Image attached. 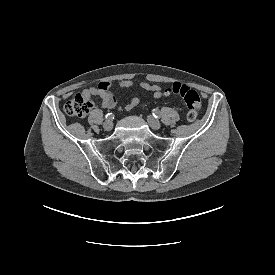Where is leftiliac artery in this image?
Masks as SVG:
<instances>
[{"instance_id": "44dca946", "label": "left iliac artery", "mask_w": 275, "mask_h": 275, "mask_svg": "<svg viewBox=\"0 0 275 275\" xmlns=\"http://www.w3.org/2000/svg\"><path fill=\"white\" fill-rule=\"evenodd\" d=\"M153 116L155 118H159L161 116V113L158 109H153Z\"/></svg>"}]
</instances>
